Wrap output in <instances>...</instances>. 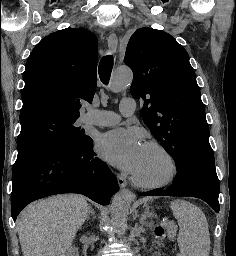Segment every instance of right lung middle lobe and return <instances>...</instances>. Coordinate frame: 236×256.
Wrapping results in <instances>:
<instances>
[{"label":"right lung middle lobe","mask_w":236,"mask_h":256,"mask_svg":"<svg viewBox=\"0 0 236 256\" xmlns=\"http://www.w3.org/2000/svg\"><path fill=\"white\" fill-rule=\"evenodd\" d=\"M77 119L53 111L38 112L20 118L18 157L47 146L80 147L88 143L90 137L83 135L85 131L76 126Z\"/></svg>","instance_id":"right-lung-middle-lobe-1"}]
</instances>
